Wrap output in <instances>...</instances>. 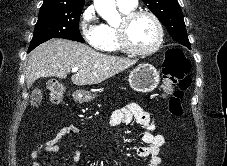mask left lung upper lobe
<instances>
[{
  "instance_id": "left-lung-upper-lobe-1",
  "label": "left lung upper lobe",
  "mask_w": 227,
  "mask_h": 166,
  "mask_svg": "<svg viewBox=\"0 0 227 166\" xmlns=\"http://www.w3.org/2000/svg\"><path fill=\"white\" fill-rule=\"evenodd\" d=\"M166 27L171 38L190 48L183 13L177 0H142Z\"/></svg>"
}]
</instances>
